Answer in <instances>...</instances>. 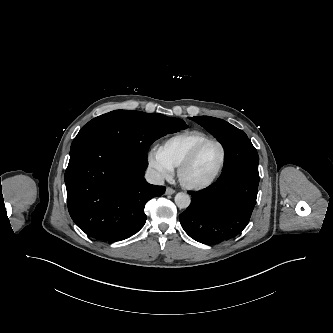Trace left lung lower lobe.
Listing matches in <instances>:
<instances>
[{
  "label": "left lung lower lobe",
  "instance_id": "left-lung-lower-lobe-1",
  "mask_svg": "<svg viewBox=\"0 0 333 333\" xmlns=\"http://www.w3.org/2000/svg\"><path fill=\"white\" fill-rule=\"evenodd\" d=\"M259 156L247 136L225 149L224 170L215 184L197 191L180 223L194 240L218 244L238 235L249 223L256 204Z\"/></svg>",
  "mask_w": 333,
  "mask_h": 333
}]
</instances>
